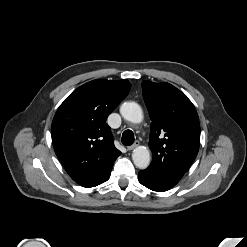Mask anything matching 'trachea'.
Returning <instances> with one entry per match:
<instances>
[{
    "instance_id": "obj_1",
    "label": "trachea",
    "mask_w": 247,
    "mask_h": 247,
    "mask_svg": "<svg viewBox=\"0 0 247 247\" xmlns=\"http://www.w3.org/2000/svg\"><path fill=\"white\" fill-rule=\"evenodd\" d=\"M122 143L125 146H130L134 143V134L131 130H125L122 134Z\"/></svg>"
}]
</instances>
